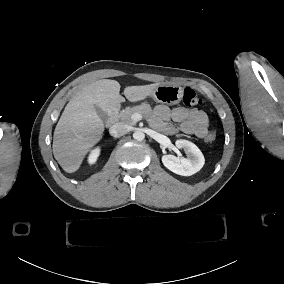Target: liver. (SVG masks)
Instances as JSON below:
<instances>
[{"instance_id": "6515ba94", "label": "liver", "mask_w": 284, "mask_h": 284, "mask_svg": "<svg viewBox=\"0 0 284 284\" xmlns=\"http://www.w3.org/2000/svg\"><path fill=\"white\" fill-rule=\"evenodd\" d=\"M160 85L129 86L124 95L136 102L152 95ZM120 84L115 80L102 79L84 85L66 105L54 131L53 154L67 173L77 171L88 151L101 139L104 123L96 108L105 112L124 102L119 94Z\"/></svg>"}]
</instances>
